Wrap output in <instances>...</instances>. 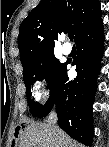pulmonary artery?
I'll return each instance as SVG.
<instances>
[{"mask_svg": "<svg viewBox=\"0 0 109 147\" xmlns=\"http://www.w3.org/2000/svg\"><path fill=\"white\" fill-rule=\"evenodd\" d=\"M62 51L65 55H69L72 51V47L69 43H65L62 47Z\"/></svg>", "mask_w": 109, "mask_h": 147, "instance_id": "obj_1", "label": "pulmonary artery"}]
</instances>
